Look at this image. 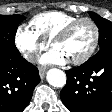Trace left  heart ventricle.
I'll use <instances>...</instances> for the list:
<instances>
[{
  "mask_svg": "<svg viewBox=\"0 0 112 112\" xmlns=\"http://www.w3.org/2000/svg\"><path fill=\"white\" fill-rule=\"evenodd\" d=\"M93 39V29L87 22L79 23L62 41L54 44L53 49L60 51L68 61L81 57Z\"/></svg>",
  "mask_w": 112,
  "mask_h": 112,
  "instance_id": "left-heart-ventricle-1",
  "label": "left heart ventricle"
}]
</instances>
